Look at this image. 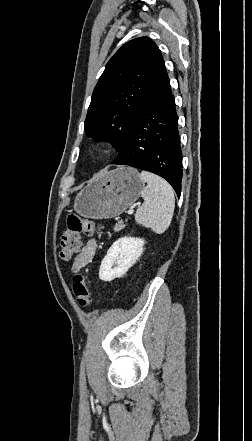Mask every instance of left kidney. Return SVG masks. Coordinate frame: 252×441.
I'll return each mask as SVG.
<instances>
[{"instance_id":"left-kidney-1","label":"left kidney","mask_w":252,"mask_h":441,"mask_svg":"<svg viewBox=\"0 0 252 441\" xmlns=\"http://www.w3.org/2000/svg\"><path fill=\"white\" fill-rule=\"evenodd\" d=\"M145 242L141 238L122 237L115 241L101 262L99 278L110 282L122 277L143 252ZM116 265L113 267V265Z\"/></svg>"}]
</instances>
